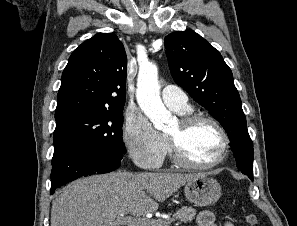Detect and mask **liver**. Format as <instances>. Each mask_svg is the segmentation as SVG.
I'll use <instances>...</instances> for the list:
<instances>
[{
  "label": "liver",
  "mask_w": 297,
  "mask_h": 226,
  "mask_svg": "<svg viewBox=\"0 0 297 226\" xmlns=\"http://www.w3.org/2000/svg\"><path fill=\"white\" fill-rule=\"evenodd\" d=\"M201 175L117 171L76 180L52 203L51 226H116L120 215L156 211L158 202Z\"/></svg>",
  "instance_id": "obj_1"
}]
</instances>
